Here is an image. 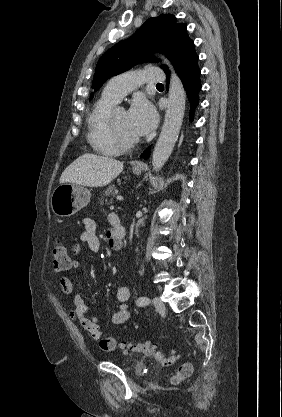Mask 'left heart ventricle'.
<instances>
[{
    "mask_svg": "<svg viewBox=\"0 0 282 417\" xmlns=\"http://www.w3.org/2000/svg\"><path fill=\"white\" fill-rule=\"evenodd\" d=\"M115 123H116V126H117L118 130L120 131L121 135L124 138H126V139H133V138H136L137 137V135H135L131 131V129L129 128L128 120H127V113L123 109H121V108H119L116 111ZM106 125H107V130L109 132H111V129H110V126H109V123L108 122H107Z\"/></svg>",
    "mask_w": 282,
    "mask_h": 417,
    "instance_id": "1",
    "label": "left heart ventricle"
}]
</instances>
